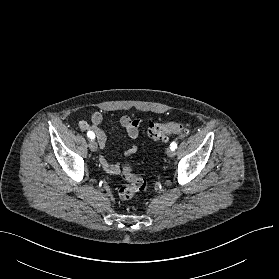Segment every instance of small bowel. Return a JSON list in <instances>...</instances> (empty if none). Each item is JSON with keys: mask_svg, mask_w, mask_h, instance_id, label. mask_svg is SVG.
<instances>
[{"mask_svg": "<svg viewBox=\"0 0 279 279\" xmlns=\"http://www.w3.org/2000/svg\"><path fill=\"white\" fill-rule=\"evenodd\" d=\"M103 121V115L99 111H95L91 116V122L80 121L79 128L82 131H91L96 136L97 142L102 150L107 147V136L101 129L100 125ZM120 124L125 129L127 135L131 139H136L139 135V129L142 124V120L138 118H131L128 115H124L120 118ZM137 151V147L132 145L124 151L125 156H130ZM99 162L102 168L109 174L115 175L120 172V166L117 163L109 162L104 156L99 157Z\"/></svg>", "mask_w": 279, "mask_h": 279, "instance_id": "1", "label": "small bowel"}]
</instances>
